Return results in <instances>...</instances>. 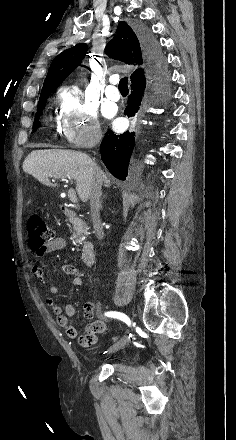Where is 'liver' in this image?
Listing matches in <instances>:
<instances>
[{
	"mask_svg": "<svg viewBox=\"0 0 236 440\" xmlns=\"http://www.w3.org/2000/svg\"><path fill=\"white\" fill-rule=\"evenodd\" d=\"M22 167L25 173L50 187L58 186L57 183H51L50 177L75 179L76 191L83 202H87L90 198L97 173L105 187L110 186V180L106 174L88 155L82 152L58 149L35 150L26 157Z\"/></svg>",
	"mask_w": 236,
	"mask_h": 440,
	"instance_id": "obj_1",
	"label": "liver"
}]
</instances>
